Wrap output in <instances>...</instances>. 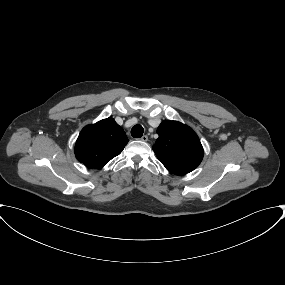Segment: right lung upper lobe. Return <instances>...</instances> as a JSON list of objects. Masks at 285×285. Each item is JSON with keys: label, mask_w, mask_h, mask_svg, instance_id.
<instances>
[{"label": "right lung upper lobe", "mask_w": 285, "mask_h": 285, "mask_svg": "<svg viewBox=\"0 0 285 285\" xmlns=\"http://www.w3.org/2000/svg\"><path fill=\"white\" fill-rule=\"evenodd\" d=\"M128 141L122 127L109 117L82 129L75 156L88 168L101 169L122 152Z\"/></svg>", "instance_id": "1"}]
</instances>
